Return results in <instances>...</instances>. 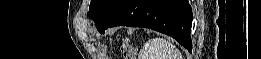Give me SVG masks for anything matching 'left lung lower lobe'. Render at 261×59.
Listing matches in <instances>:
<instances>
[{"mask_svg": "<svg viewBox=\"0 0 261 59\" xmlns=\"http://www.w3.org/2000/svg\"><path fill=\"white\" fill-rule=\"evenodd\" d=\"M120 25L165 33L192 51V10L188 0H120L96 27L103 34L107 28Z\"/></svg>", "mask_w": 261, "mask_h": 59, "instance_id": "1", "label": "left lung lower lobe"}]
</instances>
